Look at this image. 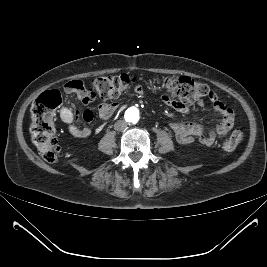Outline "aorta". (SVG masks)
Returning a JSON list of instances; mask_svg holds the SVG:
<instances>
[{
  "instance_id": "aorta-1",
  "label": "aorta",
  "mask_w": 267,
  "mask_h": 267,
  "mask_svg": "<svg viewBox=\"0 0 267 267\" xmlns=\"http://www.w3.org/2000/svg\"><path fill=\"white\" fill-rule=\"evenodd\" d=\"M125 118L130 123H137L139 120V112L135 108H130L125 113Z\"/></svg>"
}]
</instances>
